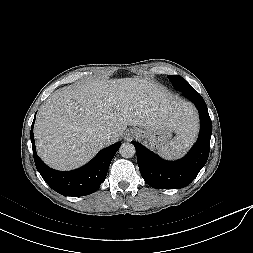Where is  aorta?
<instances>
[{
    "mask_svg": "<svg viewBox=\"0 0 253 253\" xmlns=\"http://www.w3.org/2000/svg\"><path fill=\"white\" fill-rule=\"evenodd\" d=\"M135 152V147L131 143H123L119 148V153L123 158H132Z\"/></svg>",
    "mask_w": 253,
    "mask_h": 253,
    "instance_id": "obj_1",
    "label": "aorta"
}]
</instances>
